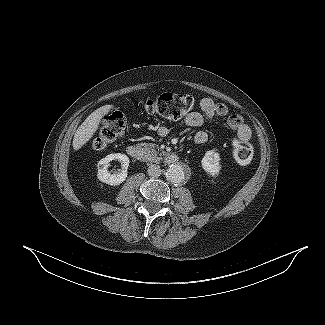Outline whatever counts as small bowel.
I'll return each instance as SVG.
<instances>
[{"label":"small bowel","instance_id":"1","mask_svg":"<svg viewBox=\"0 0 325 325\" xmlns=\"http://www.w3.org/2000/svg\"><path fill=\"white\" fill-rule=\"evenodd\" d=\"M200 112H191L183 120V123L189 127H200L205 121V117L212 119L214 117H225L229 110L223 103L214 102L211 98H202L199 102ZM228 127L236 133L238 140L249 142L251 139V129L244 123L243 118L239 114H231L227 118ZM158 134L161 137H166L169 134L167 126H160ZM208 140V134L204 130H199L194 134V141L197 144H203Z\"/></svg>","mask_w":325,"mask_h":325}]
</instances>
